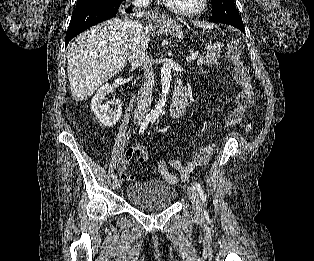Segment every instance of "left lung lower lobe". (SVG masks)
I'll use <instances>...</instances> for the list:
<instances>
[{"label":"left lung lower lobe","mask_w":314,"mask_h":261,"mask_svg":"<svg viewBox=\"0 0 314 261\" xmlns=\"http://www.w3.org/2000/svg\"><path fill=\"white\" fill-rule=\"evenodd\" d=\"M229 25L234 26V27L240 29L243 33H245L243 23L242 24L232 23V24H229Z\"/></svg>","instance_id":"obj_1"}]
</instances>
